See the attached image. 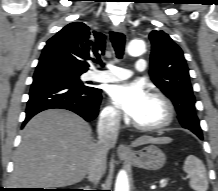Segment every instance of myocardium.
Instances as JSON below:
<instances>
[{
    "label": "myocardium",
    "mask_w": 218,
    "mask_h": 191,
    "mask_svg": "<svg viewBox=\"0 0 218 191\" xmlns=\"http://www.w3.org/2000/svg\"><path fill=\"white\" fill-rule=\"evenodd\" d=\"M150 96L159 100L164 105L166 111L165 119L161 123L156 125H141L134 120L133 125L138 130L144 132L164 130L167 127H169L175 119V107L172 101L164 93L160 91L154 90L150 93Z\"/></svg>",
    "instance_id": "myocardium-1"
}]
</instances>
